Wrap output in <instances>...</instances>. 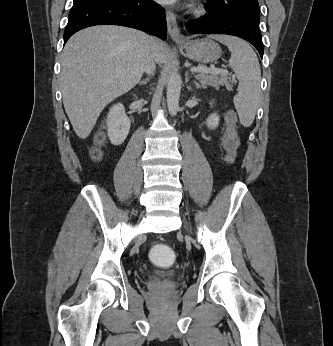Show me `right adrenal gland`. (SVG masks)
Masks as SVG:
<instances>
[{
	"mask_svg": "<svg viewBox=\"0 0 333 346\" xmlns=\"http://www.w3.org/2000/svg\"><path fill=\"white\" fill-rule=\"evenodd\" d=\"M149 80H150V77H147V78L144 79L143 81H140V82H139V85H146L147 82H149Z\"/></svg>",
	"mask_w": 333,
	"mask_h": 346,
	"instance_id": "obj_1",
	"label": "right adrenal gland"
}]
</instances>
